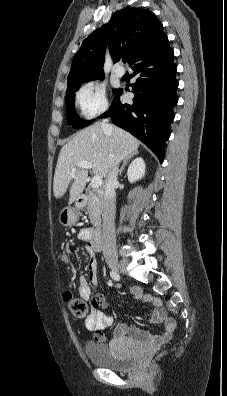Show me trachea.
<instances>
[{
    "mask_svg": "<svg viewBox=\"0 0 227 396\" xmlns=\"http://www.w3.org/2000/svg\"><path fill=\"white\" fill-rule=\"evenodd\" d=\"M122 61H123V63H126L127 58H123Z\"/></svg>",
    "mask_w": 227,
    "mask_h": 396,
    "instance_id": "obj_1",
    "label": "trachea"
}]
</instances>
